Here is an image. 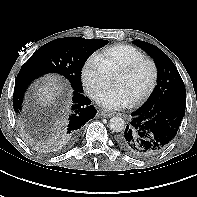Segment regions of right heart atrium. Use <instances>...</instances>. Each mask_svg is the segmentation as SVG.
<instances>
[{"mask_svg":"<svg viewBox=\"0 0 197 197\" xmlns=\"http://www.w3.org/2000/svg\"><path fill=\"white\" fill-rule=\"evenodd\" d=\"M111 80L96 56L89 57L81 69V81L91 98H96L105 89Z\"/></svg>","mask_w":197,"mask_h":197,"instance_id":"d8ad5b80","label":"right heart atrium"}]
</instances>
